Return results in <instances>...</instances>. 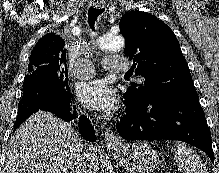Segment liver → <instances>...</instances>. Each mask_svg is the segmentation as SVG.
I'll list each match as a JSON object with an SVG mask.
<instances>
[{"label":"liver","instance_id":"1","mask_svg":"<svg viewBox=\"0 0 219 173\" xmlns=\"http://www.w3.org/2000/svg\"><path fill=\"white\" fill-rule=\"evenodd\" d=\"M82 145L71 125L48 111H38L11 137L1 173H73ZM97 168L95 154L88 158L89 173Z\"/></svg>","mask_w":219,"mask_h":173}]
</instances>
